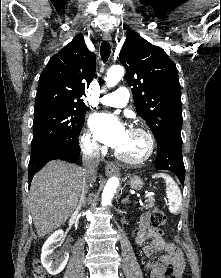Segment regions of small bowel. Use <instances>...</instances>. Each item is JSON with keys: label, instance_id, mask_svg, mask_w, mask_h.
<instances>
[{"label": "small bowel", "instance_id": "small-bowel-1", "mask_svg": "<svg viewBox=\"0 0 221 278\" xmlns=\"http://www.w3.org/2000/svg\"><path fill=\"white\" fill-rule=\"evenodd\" d=\"M136 242L143 245V254L146 257L155 253L160 254V262L150 261L145 266L149 272V278H164V265L172 266L177 278L181 276L185 261L180 249L164 241L162 230L151 224L149 214L141 217Z\"/></svg>", "mask_w": 221, "mask_h": 278}]
</instances>
